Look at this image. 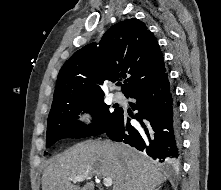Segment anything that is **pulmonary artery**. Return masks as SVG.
Returning a JSON list of instances; mask_svg holds the SVG:
<instances>
[{
	"mask_svg": "<svg viewBox=\"0 0 221 190\" xmlns=\"http://www.w3.org/2000/svg\"><path fill=\"white\" fill-rule=\"evenodd\" d=\"M124 95L123 93L121 92H115L114 93V99L117 101V102H123L124 101Z\"/></svg>",
	"mask_w": 221,
	"mask_h": 190,
	"instance_id": "1",
	"label": "pulmonary artery"
}]
</instances>
